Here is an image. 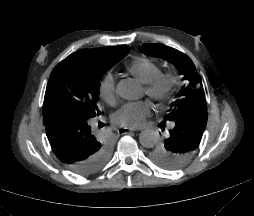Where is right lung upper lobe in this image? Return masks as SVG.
I'll use <instances>...</instances> for the list:
<instances>
[{
  "mask_svg": "<svg viewBox=\"0 0 254 216\" xmlns=\"http://www.w3.org/2000/svg\"><path fill=\"white\" fill-rule=\"evenodd\" d=\"M130 48L127 45L116 47L98 48V49H82L81 51H89L96 53L106 60H109L113 65L120 61L128 52Z\"/></svg>",
  "mask_w": 254,
  "mask_h": 216,
  "instance_id": "1",
  "label": "right lung upper lobe"
}]
</instances>
